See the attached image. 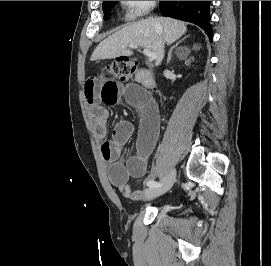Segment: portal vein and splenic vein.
Masks as SVG:
<instances>
[{"instance_id":"1","label":"portal vein and splenic vein","mask_w":271,"mask_h":266,"mask_svg":"<svg viewBox=\"0 0 271 266\" xmlns=\"http://www.w3.org/2000/svg\"><path fill=\"white\" fill-rule=\"evenodd\" d=\"M128 46H129V48H132V49L138 47V46L135 45V44H129ZM143 53H144L149 59H151V60H155V59H156V54H155L154 52H151V51L148 50V49H144V50H143Z\"/></svg>"}]
</instances>
